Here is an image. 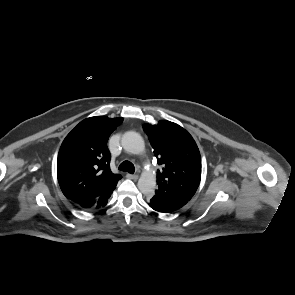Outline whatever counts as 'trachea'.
<instances>
[{"label":"trachea","mask_w":295,"mask_h":295,"mask_svg":"<svg viewBox=\"0 0 295 295\" xmlns=\"http://www.w3.org/2000/svg\"><path fill=\"white\" fill-rule=\"evenodd\" d=\"M119 170L123 172H128L130 174H133L135 172V167L130 161H123L119 165Z\"/></svg>","instance_id":"obj_1"}]
</instances>
